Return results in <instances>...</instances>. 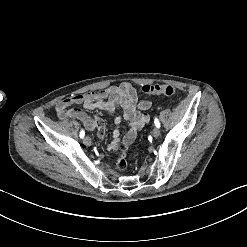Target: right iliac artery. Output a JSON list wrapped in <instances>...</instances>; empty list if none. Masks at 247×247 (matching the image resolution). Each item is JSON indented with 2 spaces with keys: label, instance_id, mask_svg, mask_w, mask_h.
I'll return each instance as SVG.
<instances>
[{
  "label": "right iliac artery",
  "instance_id": "1",
  "mask_svg": "<svg viewBox=\"0 0 247 247\" xmlns=\"http://www.w3.org/2000/svg\"><path fill=\"white\" fill-rule=\"evenodd\" d=\"M80 138H83L84 136H85V132H84V130H81V132H80Z\"/></svg>",
  "mask_w": 247,
  "mask_h": 247
}]
</instances>
